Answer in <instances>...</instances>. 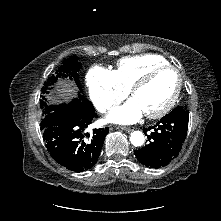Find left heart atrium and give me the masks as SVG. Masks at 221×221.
<instances>
[{
	"label": "left heart atrium",
	"instance_id": "39dd6f15",
	"mask_svg": "<svg viewBox=\"0 0 221 221\" xmlns=\"http://www.w3.org/2000/svg\"><path fill=\"white\" fill-rule=\"evenodd\" d=\"M143 113L139 103L132 98L121 107L115 108L110 113L108 119L115 123L131 124L139 120Z\"/></svg>",
	"mask_w": 221,
	"mask_h": 221
}]
</instances>
